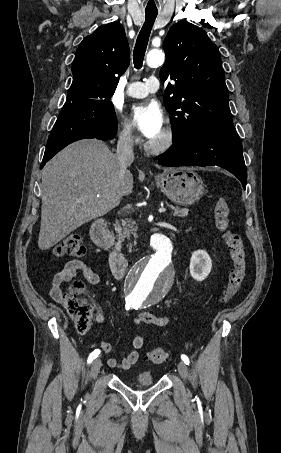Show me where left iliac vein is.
<instances>
[{"label": "left iliac vein", "mask_w": 281, "mask_h": 453, "mask_svg": "<svg viewBox=\"0 0 281 453\" xmlns=\"http://www.w3.org/2000/svg\"><path fill=\"white\" fill-rule=\"evenodd\" d=\"M177 368L181 375H184L182 378L185 380L187 377L185 376L188 372V367L185 365L184 362L178 363Z\"/></svg>", "instance_id": "4c4485c4"}]
</instances>
